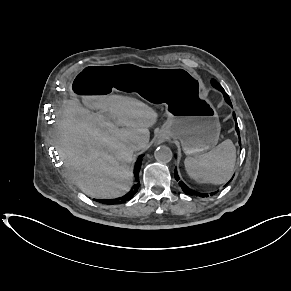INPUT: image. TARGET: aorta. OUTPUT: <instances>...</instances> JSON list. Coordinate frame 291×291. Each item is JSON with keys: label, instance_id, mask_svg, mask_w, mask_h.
<instances>
[{"label": "aorta", "instance_id": "1", "mask_svg": "<svg viewBox=\"0 0 291 291\" xmlns=\"http://www.w3.org/2000/svg\"><path fill=\"white\" fill-rule=\"evenodd\" d=\"M155 159L160 163H168L172 159V151L169 147L162 145L154 152Z\"/></svg>", "mask_w": 291, "mask_h": 291}]
</instances>
